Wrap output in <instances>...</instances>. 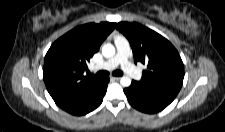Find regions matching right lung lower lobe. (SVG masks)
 I'll list each match as a JSON object with an SVG mask.
<instances>
[{
  "label": "right lung lower lobe",
  "mask_w": 225,
  "mask_h": 132,
  "mask_svg": "<svg viewBox=\"0 0 225 132\" xmlns=\"http://www.w3.org/2000/svg\"><path fill=\"white\" fill-rule=\"evenodd\" d=\"M108 82L109 77L101 78L98 87L88 99L61 108L73 115H84L93 111L101 104L107 90Z\"/></svg>",
  "instance_id": "98d812e1"
}]
</instances>
